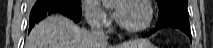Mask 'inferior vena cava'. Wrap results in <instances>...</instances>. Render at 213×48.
Here are the masks:
<instances>
[{
	"instance_id": "inferior-vena-cava-1",
	"label": "inferior vena cava",
	"mask_w": 213,
	"mask_h": 48,
	"mask_svg": "<svg viewBox=\"0 0 213 48\" xmlns=\"http://www.w3.org/2000/svg\"><path fill=\"white\" fill-rule=\"evenodd\" d=\"M91 38L97 45H106L108 41V36L105 34L102 25L98 19V17H93L91 22Z\"/></svg>"
}]
</instances>
